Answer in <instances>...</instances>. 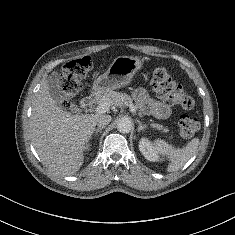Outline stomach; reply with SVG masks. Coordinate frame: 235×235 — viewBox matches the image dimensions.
<instances>
[{
    "label": "stomach",
    "mask_w": 235,
    "mask_h": 235,
    "mask_svg": "<svg viewBox=\"0 0 235 235\" xmlns=\"http://www.w3.org/2000/svg\"><path fill=\"white\" fill-rule=\"evenodd\" d=\"M142 65L143 62L138 57L119 56L115 58L107 71L95 79L93 92L96 95H103L128 85Z\"/></svg>",
    "instance_id": "obj_1"
}]
</instances>
